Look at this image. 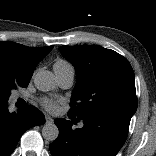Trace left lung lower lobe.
I'll list each match as a JSON object with an SVG mask.
<instances>
[{"instance_id": "0a47b994", "label": "left lung lower lobe", "mask_w": 156, "mask_h": 156, "mask_svg": "<svg viewBox=\"0 0 156 156\" xmlns=\"http://www.w3.org/2000/svg\"><path fill=\"white\" fill-rule=\"evenodd\" d=\"M69 117L72 121L78 120ZM81 120L83 128L75 130L69 120L54 121L59 136L49 146L52 156H115L118 153L127 138L130 121L114 115Z\"/></svg>"}]
</instances>
